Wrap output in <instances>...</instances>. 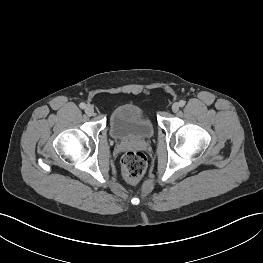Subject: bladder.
<instances>
[{
  "label": "bladder",
  "instance_id": "obj_1",
  "mask_svg": "<svg viewBox=\"0 0 263 263\" xmlns=\"http://www.w3.org/2000/svg\"><path fill=\"white\" fill-rule=\"evenodd\" d=\"M109 129L111 135L120 140L144 141L154 134L151 119L135 104L118 107L112 113Z\"/></svg>",
  "mask_w": 263,
  "mask_h": 263
}]
</instances>
